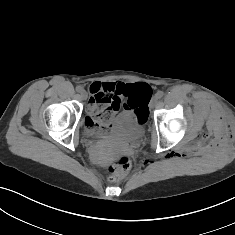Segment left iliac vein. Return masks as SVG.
Wrapping results in <instances>:
<instances>
[{"label":"left iliac vein","instance_id":"4c4485c4","mask_svg":"<svg viewBox=\"0 0 235 235\" xmlns=\"http://www.w3.org/2000/svg\"><path fill=\"white\" fill-rule=\"evenodd\" d=\"M157 97L156 96H153L151 101H150V108H154L156 103H157Z\"/></svg>","mask_w":235,"mask_h":235}]
</instances>
